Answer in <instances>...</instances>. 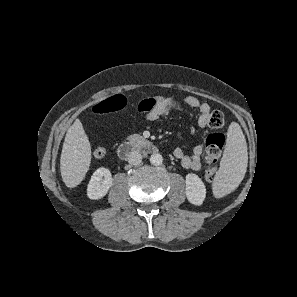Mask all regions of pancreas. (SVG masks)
<instances>
[{
	"label": "pancreas",
	"instance_id": "obj_1",
	"mask_svg": "<svg viewBox=\"0 0 297 297\" xmlns=\"http://www.w3.org/2000/svg\"><path fill=\"white\" fill-rule=\"evenodd\" d=\"M127 139L131 144L137 145V143L142 141L144 138L138 134H133L130 135Z\"/></svg>",
	"mask_w": 297,
	"mask_h": 297
}]
</instances>
